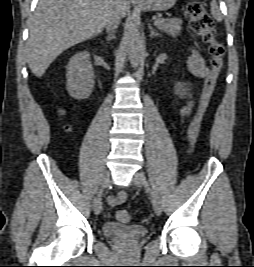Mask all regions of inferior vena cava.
Instances as JSON below:
<instances>
[{
    "label": "inferior vena cava",
    "mask_w": 254,
    "mask_h": 267,
    "mask_svg": "<svg viewBox=\"0 0 254 267\" xmlns=\"http://www.w3.org/2000/svg\"><path fill=\"white\" fill-rule=\"evenodd\" d=\"M116 3H119V0H116ZM120 24V14L117 9H114L111 14L109 15L106 21V28L107 31L112 34Z\"/></svg>",
    "instance_id": "1"
}]
</instances>
